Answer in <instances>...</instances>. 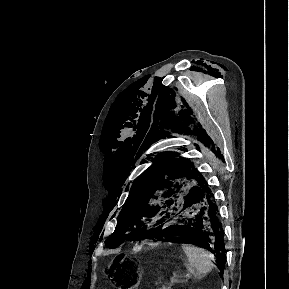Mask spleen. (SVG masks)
<instances>
[{
	"label": "spleen",
	"instance_id": "3e777b00",
	"mask_svg": "<svg viewBox=\"0 0 289 289\" xmlns=\"http://www.w3.org/2000/svg\"><path fill=\"white\" fill-rule=\"evenodd\" d=\"M188 263L186 268L197 278H202L213 268L212 255L205 249L190 244H182Z\"/></svg>",
	"mask_w": 289,
	"mask_h": 289
}]
</instances>
